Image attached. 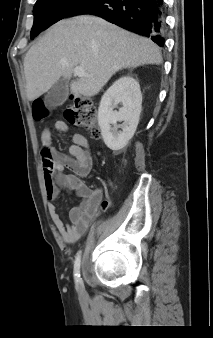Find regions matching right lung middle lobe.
Wrapping results in <instances>:
<instances>
[{
	"instance_id": "1",
	"label": "right lung middle lobe",
	"mask_w": 213,
	"mask_h": 338,
	"mask_svg": "<svg viewBox=\"0 0 213 338\" xmlns=\"http://www.w3.org/2000/svg\"><path fill=\"white\" fill-rule=\"evenodd\" d=\"M93 0H37L31 39L59 20L71 16L78 8Z\"/></svg>"
}]
</instances>
